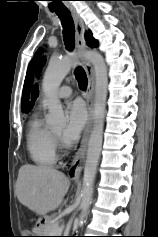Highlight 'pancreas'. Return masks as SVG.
<instances>
[{"label": "pancreas", "mask_w": 158, "mask_h": 237, "mask_svg": "<svg viewBox=\"0 0 158 237\" xmlns=\"http://www.w3.org/2000/svg\"><path fill=\"white\" fill-rule=\"evenodd\" d=\"M44 233L47 236H57L58 233V221L57 220H51L48 219L45 227H44Z\"/></svg>", "instance_id": "1"}]
</instances>
